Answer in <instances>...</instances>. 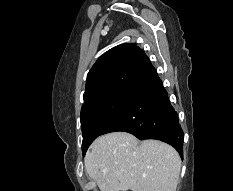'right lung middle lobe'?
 <instances>
[{
    "instance_id": "obj_1",
    "label": "right lung middle lobe",
    "mask_w": 233,
    "mask_h": 191,
    "mask_svg": "<svg viewBox=\"0 0 233 191\" xmlns=\"http://www.w3.org/2000/svg\"><path fill=\"white\" fill-rule=\"evenodd\" d=\"M129 92L123 91L106 96L81 109V129L83 135L82 151L85 155L90 144L101 131L124 108L128 101Z\"/></svg>"
}]
</instances>
